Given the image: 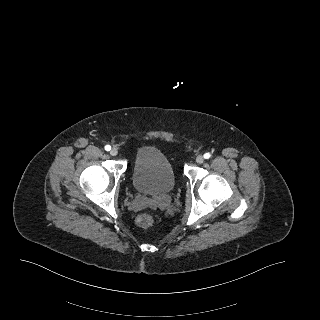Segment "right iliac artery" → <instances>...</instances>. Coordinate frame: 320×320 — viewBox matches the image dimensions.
I'll return each mask as SVG.
<instances>
[{"instance_id": "82829eb1", "label": "right iliac artery", "mask_w": 320, "mask_h": 320, "mask_svg": "<svg viewBox=\"0 0 320 320\" xmlns=\"http://www.w3.org/2000/svg\"><path fill=\"white\" fill-rule=\"evenodd\" d=\"M105 150H106V151H110V150H111V146H110V145H106V146H105Z\"/></svg>"}]
</instances>
